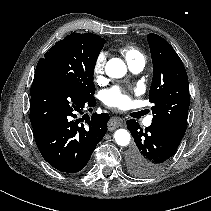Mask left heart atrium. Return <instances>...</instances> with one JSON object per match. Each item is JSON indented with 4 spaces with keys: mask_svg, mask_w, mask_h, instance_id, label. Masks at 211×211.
<instances>
[{
    "mask_svg": "<svg viewBox=\"0 0 211 211\" xmlns=\"http://www.w3.org/2000/svg\"><path fill=\"white\" fill-rule=\"evenodd\" d=\"M104 103L109 107L126 109L131 103L130 94L123 88L115 86L104 92Z\"/></svg>",
    "mask_w": 211,
    "mask_h": 211,
    "instance_id": "1",
    "label": "left heart atrium"
}]
</instances>
